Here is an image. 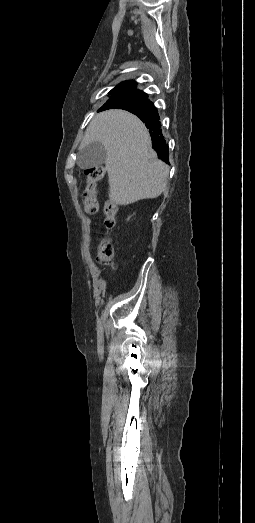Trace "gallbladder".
<instances>
[{"label":"gallbladder","mask_w":255,"mask_h":523,"mask_svg":"<svg viewBox=\"0 0 255 523\" xmlns=\"http://www.w3.org/2000/svg\"><path fill=\"white\" fill-rule=\"evenodd\" d=\"M107 158V150L101 142H91L77 154V164L81 170L100 168Z\"/></svg>","instance_id":"bac80fb5"}]
</instances>
